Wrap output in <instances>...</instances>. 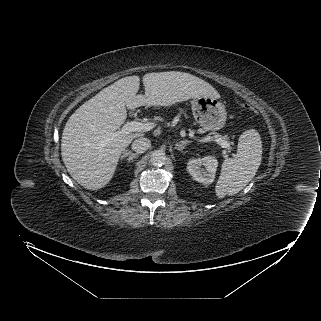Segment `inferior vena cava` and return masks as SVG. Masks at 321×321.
<instances>
[{
  "label": "inferior vena cava",
  "mask_w": 321,
  "mask_h": 321,
  "mask_svg": "<svg viewBox=\"0 0 321 321\" xmlns=\"http://www.w3.org/2000/svg\"><path fill=\"white\" fill-rule=\"evenodd\" d=\"M151 146V142L149 139L144 138V137H140L138 139H135L132 142V149L136 152V153H144L145 151H147Z\"/></svg>",
  "instance_id": "602c4592"
}]
</instances>
